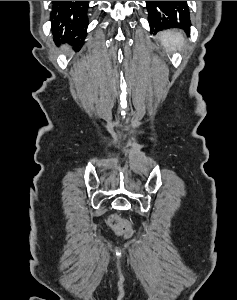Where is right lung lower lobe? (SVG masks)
I'll return each mask as SVG.
<instances>
[{
	"mask_svg": "<svg viewBox=\"0 0 237 300\" xmlns=\"http://www.w3.org/2000/svg\"><path fill=\"white\" fill-rule=\"evenodd\" d=\"M89 1H53L51 30L56 43H69L74 49L84 44L88 26Z\"/></svg>",
	"mask_w": 237,
	"mask_h": 300,
	"instance_id": "obj_1",
	"label": "right lung lower lobe"
}]
</instances>
